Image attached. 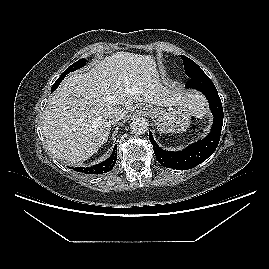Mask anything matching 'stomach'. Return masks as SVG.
Returning <instances> with one entry per match:
<instances>
[{"label": "stomach", "instance_id": "0dacf381", "mask_svg": "<svg viewBox=\"0 0 269 269\" xmlns=\"http://www.w3.org/2000/svg\"><path fill=\"white\" fill-rule=\"evenodd\" d=\"M143 110L155 119V126L162 133H183L191 123L189 109L182 106L168 107L166 109L153 108L144 105Z\"/></svg>", "mask_w": 269, "mask_h": 269}]
</instances>
